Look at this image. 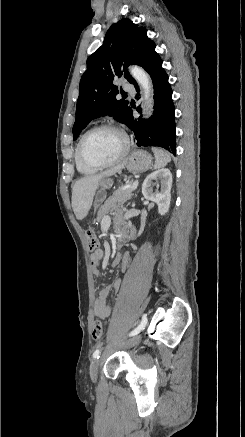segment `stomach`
Instances as JSON below:
<instances>
[{
    "instance_id": "0dacf381",
    "label": "stomach",
    "mask_w": 245,
    "mask_h": 437,
    "mask_svg": "<svg viewBox=\"0 0 245 437\" xmlns=\"http://www.w3.org/2000/svg\"><path fill=\"white\" fill-rule=\"evenodd\" d=\"M152 165V156L144 150L133 151L126 161V168L133 174H139L147 171ZM112 180L107 179L102 182L101 189L95 195L94 207L98 208L106 198V189L112 185Z\"/></svg>"
}]
</instances>
